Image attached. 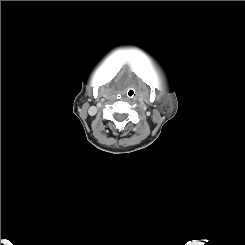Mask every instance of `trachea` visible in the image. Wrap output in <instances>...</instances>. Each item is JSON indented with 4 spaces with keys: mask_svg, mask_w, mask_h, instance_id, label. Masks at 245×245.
<instances>
[{
    "mask_svg": "<svg viewBox=\"0 0 245 245\" xmlns=\"http://www.w3.org/2000/svg\"><path fill=\"white\" fill-rule=\"evenodd\" d=\"M126 94L129 98H133L136 94V90L133 87H130L127 89Z\"/></svg>",
    "mask_w": 245,
    "mask_h": 245,
    "instance_id": "1",
    "label": "trachea"
}]
</instances>
